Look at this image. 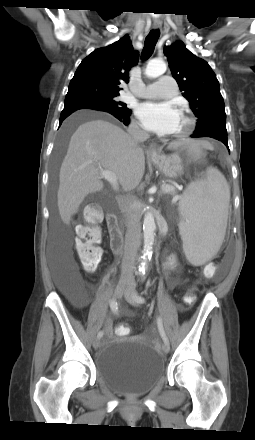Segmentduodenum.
<instances>
[{
    "mask_svg": "<svg viewBox=\"0 0 255 440\" xmlns=\"http://www.w3.org/2000/svg\"><path fill=\"white\" fill-rule=\"evenodd\" d=\"M106 222L110 234L112 249L114 253L119 254L122 249L123 237L118 227L116 215L114 213H109L107 215Z\"/></svg>",
    "mask_w": 255,
    "mask_h": 440,
    "instance_id": "obj_1",
    "label": "duodenum"
}]
</instances>
